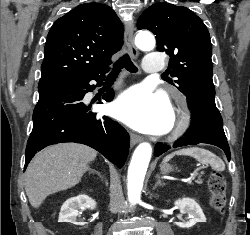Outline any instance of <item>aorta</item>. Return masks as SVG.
Here are the masks:
<instances>
[{
  "label": "aorta",
  "mask_w": 250,
  "mask_h": 235,
  "mask_svg": "<svg viewBox=\"0 0 250 235\" xmlns=\"http://www.w3.org/2000/svg\"><path fill=\"white\" fill-rule=\"evenodd\" d=\"M136 46L143 51H150L155 46L154 36L141 31L135 37ZM152 147L149 143H141L135 149L128 169V200L135 205L140 201L144 177L151 159Z\"/></svg>",
  "instance_id": "aorta-1"
}]
</instances>
